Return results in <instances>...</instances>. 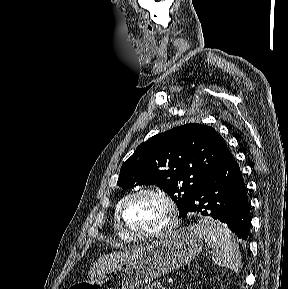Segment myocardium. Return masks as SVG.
<instances>
[{
    "label": "myocardium",
    "instance_id": "f54148a6",
    "mask_svg": "<svg viewBox=\"0 0 288 289\" xmlns=\"http://www.w3.org/2000/svg\"><path fill=\"white\" fill-rule=\"evenodd\" d=\"M149 194L162 199L167 208H168V221L164 227L149 233H140L131 229L125 222V212L127 208L132 204V202L138 197ZM117 219L120 228L125 232L129 237L135 240H155L162 237H165L171 234L177 227L179 221V211L176 202L173 200L171 196H169L166 192L160 189H156L153 187H144L138 189L131 193L121 204L117 213Z\"/></svg>",
    "mask_w": 288,
    "mask_h": 289
}]
</instances>
